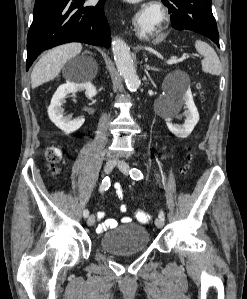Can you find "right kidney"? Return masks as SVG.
<instances>
[{"label": "right kidney", "mask_w": 247, "mask_h": 299, "mask_svg": "<svg viewBox=\"0 0 247 299\" xmlns=\"http://www.w3.org/2000/svg\"><path fill=\"white\" fill-rule=\"evenodd\" d=\"M77 91H85L89 98L97 94L95 86L91 81H83L80 83L67 82L58 87L54 93L51 104L48 107V116L50 120L65 134H70L78 130L84 123L85 119H71V116H63L64 109L62 103L66 96Z\"/></svg>", "instance_id": "1"}]
</instances>
